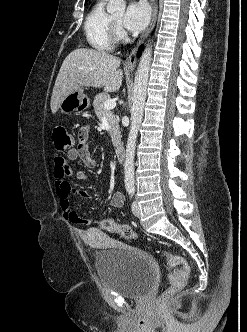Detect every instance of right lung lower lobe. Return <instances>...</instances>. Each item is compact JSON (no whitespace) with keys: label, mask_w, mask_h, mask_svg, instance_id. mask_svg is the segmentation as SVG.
Here are the masks:
<instances>
[{"label":"right lung lower lobe","mask_w":247,"mask_h":332,"mask_svg":"<svg viewBox=\"0 0 247 332\" xmlns=\"http://www.w3.org/2000/svg\"><path fill=\"white\" fill-rule=\"evenodd\" d=\"M143 49V47L142 46H140V48H139V51H138V56H140L141 55V50Z\"/></svg>","instance_id":"1"}]
</instances>
